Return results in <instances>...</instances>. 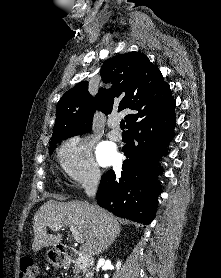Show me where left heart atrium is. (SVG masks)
I'll return each mask as SVG.
<instances>
[{
	"instance_id": "left-heart-atrium-1",
	"label": "left heart atrium",
	"mask_w": 221,
	"mask_h": 278,
	"mask_svg": "<svg viewBox=\"0 0 221 278\" xmlns=\"http://www.w3.org/2000/svg\"><path fill=\"white\" fill-rule=\"evenodd\" d=\"M97 157L101 165L108 166L117 160V153L109 143H103L97 149Z\"/></svg>"
}]
</instances>
